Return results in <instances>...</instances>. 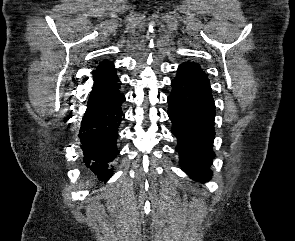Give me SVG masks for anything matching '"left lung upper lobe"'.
I'll use <instances>...</instances> for the list:
<instances>
[{
	"label": "left lung upper lobe",
	"instance_id": "left-lung-upper-lobe-1",
	"mask_svg": "<svg viewBox=\"0 0 295 241\" xmlns=\"http://www.w3.org/2000/svg\"><path fill=\"white\" fill-rule=\"evenodd\" d=\"M177 75L185 77L201 90L212 93L207 75L201 70L200 65L195 63H183L178 67Z\"/></svg>",
	"mask_w": 295,
	"mask_h": 241
}]
</instances>
